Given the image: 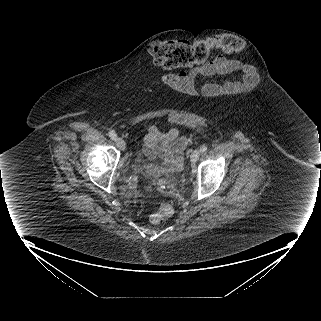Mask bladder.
<instances>
[{
  "label": "bladder",
  "mask_w": 321,
  "mask_h": 321,
  "mask_svg": "<svg viewBox=\"0 0 321 321\" xmlns=\"http://www.w3.org/2000/svg\"><path fill=\"white\" fill-rule=\"evenodd\" d=\"M147 156V155H146ZM138 169L143 174L149 176L152 179H164L167 178L161 170L159 165L154 161L153 158L147 156L138 163Z\"/></svg>",
  "instance_id": "obj_1"
}]
</instances>
